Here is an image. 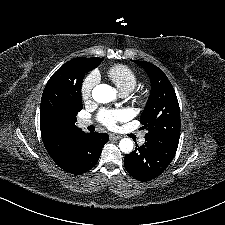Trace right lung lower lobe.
Here are the masks:
<instances>
[{
	"label": "right lung lower lobe",
	"mask_w": 225,
	"mask_h": 225,
	"mask_svg": "<svg viewBox=\"0 0 225 225\" xmlns=\"http://www.w3.org/2000/svg\"><path fill=\"white\" fill-rule=\"evenodd\" d=\"M107 142V133L82 132L74 137L66 157L57 165L68 173L82 174L96 165L102 148Z\"/></svg>",
	"instance_id": "1"
}]
</instances>
